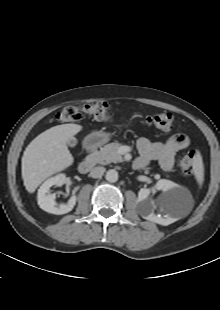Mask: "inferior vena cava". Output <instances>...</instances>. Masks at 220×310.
Masks as SVG:
<instances>
[{
	"mask_svg": "<svg viewBox=\"0 0 220 310\" xmlns=\"http://www.w3.org/2000/svg\"><path fill=\"white\" fill-rule=\"evenodd\" d=\"M104 172H105V168L98 166V167H95L91 170L90 176L92 178H100L104 174Z\"/></svg>",
	"mask_w": 220,
	"mask_h": 310,
	"instance_id": "1",
	"label": "inferior vena cava"
}]
</instances>
